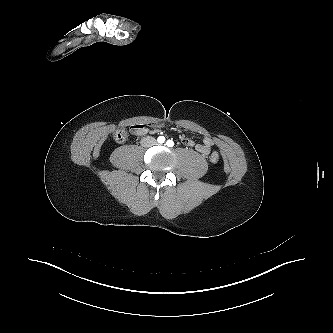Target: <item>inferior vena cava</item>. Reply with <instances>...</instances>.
Wrapping results in <instances>:
<instances>
[{
	"label": "inferior vena cava",
	"instance_id": "obj_1",
	"mask_svg": "<svg viewBox=\"0 0 333 333\" xmlns=\"http://www.w3.org/2000/svg\"><path fill=\"white\" fill-rule=\"evenodd\" d=\"M154 141V138H144L141 140V145L142 146H147L148 145V142H153Z\"/></svg>",
	"mask_w": 333,
	"mask_h": 333
}]
</instances>
